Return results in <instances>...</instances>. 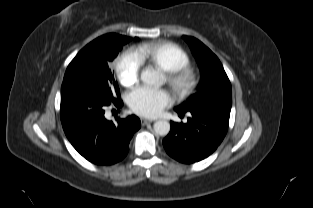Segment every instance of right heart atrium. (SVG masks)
I'll return each instance as SVG.
<instances>
[{
    "mask_svg": "<svg viewBox=\"0 0 313 208\" xmlns=\"http://www.w3.org/2000/svg\"><path fill=\"white\" fill-rule=\"evenodd\" d=\"M142 61L134 51L125 52L116 63L119 82L125 87H133L139 80Z\"/></svg>",
    "mask_w": 313,
    "mask_h": 208,
    "instance_id": "obj_1",
    "label": "right heart atrium"
}]
</instances>
